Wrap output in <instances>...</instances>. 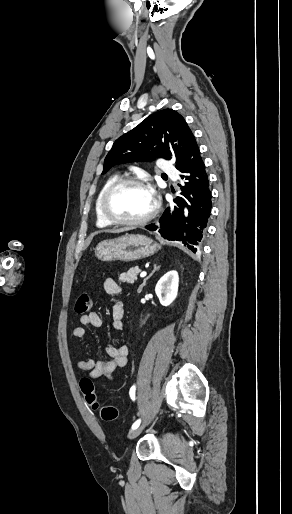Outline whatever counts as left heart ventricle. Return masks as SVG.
<instances>
[{
  "label": "left heart ventricle",
  "mask_w": 292,
  "mask_h": 514,
  "mask_svg": "<svg viewBox=\"0 0 292 514\" xmlns=\"http://www.w3.org/2000/svg\"><path fill=\"white\" fill-rule=\"evenodd\" d=\"M152 205L146 189L137 186H123L114 190L107 199V208L115 217L133 220L143 217Z\"/></svg>",
  "instance_id": "b2bd125f"
}]
</instances>
